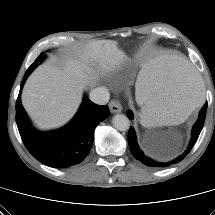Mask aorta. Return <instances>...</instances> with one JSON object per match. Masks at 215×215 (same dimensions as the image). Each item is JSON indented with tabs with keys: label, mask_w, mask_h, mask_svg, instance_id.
I'll return each instance as SVG.
<instances>
[{
	"label": "aorta",
	"mask_w": 215,
	"mask_h": 215,
	"mask_svg": "<svg viewBox=\"0 0 215 215\" xmlns=\"http://www.w3.org/2000/svg\"><path fill=\"white\" fill-rule=\"evenodd\" d=\"M112 124L119 131H126L130 127V121L124 114H116L112 119Z\"/></svg>",
	"instance_id": "obj_1"
}]
</instances>
